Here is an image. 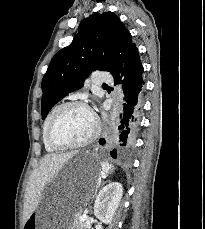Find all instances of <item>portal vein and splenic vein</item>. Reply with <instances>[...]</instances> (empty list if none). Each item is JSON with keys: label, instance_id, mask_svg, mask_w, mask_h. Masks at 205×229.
<instances>
[{"label": "portal vein and splenic vein", "instance_id": "obj_1", "mask_svg": "<svg viewBox=\"0 0 205 229\" xmlns=\"http://www.w3.org/2000/svg\"><path fill=\"white\" fill-rule=\"evenodd\" d=\"M85 217H86V215H83V216H81L80 218L83 219V218H85Z\"/></svg>", "mask_w": 205, "mask_h": 229}]
</instances>
